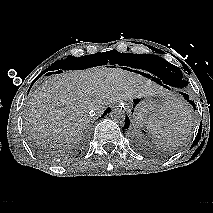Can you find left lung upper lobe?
<instances>
[{"label":"left lung upper lobe","mask_w":213,"mask_h":213,"mask_svg":"<svg viewBox=\"0 0 213 213\" xmlns=\"http://www.w3.org/2000/svg\"><path fill=\"white\" fill-rule=\"evenodd\" d=\"M137 57L136 61H138L139 68L167 76L175 84L174 87L184 88L187 86L188 82L177 66L165 61L158 55L142 54Z\"/></svg>","instance_id":"5c2ea615"}]
</instances>
